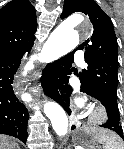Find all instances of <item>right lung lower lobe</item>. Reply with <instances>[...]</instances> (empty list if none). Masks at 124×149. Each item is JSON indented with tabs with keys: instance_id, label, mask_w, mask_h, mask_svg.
<instances>
[{
	"instance_id": "obj_1",
	"label": "right lung lower lobe",
	"mask_w": 124,
	"mask_h": 149,
	"mask_svg": "<svg viewBox=\"0 0 124 149\" xmlns=\"http://www.w3.org/2000/svg\"><path fill=\"white\" fill-rule=\"evenodd\" d=\"M30 48L0 53V134L27 140L28 110L16 98L12 85L21 59Z\"/></svg>"
}]
</instances>
